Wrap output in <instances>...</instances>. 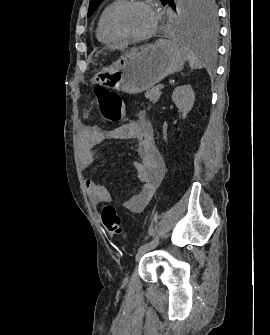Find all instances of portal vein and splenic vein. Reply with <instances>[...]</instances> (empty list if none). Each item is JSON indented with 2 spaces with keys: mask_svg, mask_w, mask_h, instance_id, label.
<instances>
[{
  "mask_svg": "<svg viewBox=\"0 0 270 335\" xmlns=\"http://www.w3.org/2000/svg\"><path fill=\"white\" fill-rule=\"evenodd\" d=\"M161 91L164 89V84L159 88Z\"/></svg>",
  "mask_w": 270,
  "mask_h": 335,
  "instance_id": "obj_1",
  "label": "portal vein and splenic vein"
}]
</instances>
